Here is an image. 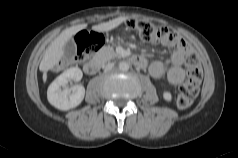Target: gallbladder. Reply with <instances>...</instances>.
<instances>
[{
	"label": "gallbladder",
	"mask_w": 238,
	"mask_h": 158,
	"mask_svg": "<svg viewBox=\"0 0 238 158\" xmlns=\"http://www.w3.org/2000/svg\"><path fill=\"white\" fill-rule=\"evenodd\" d=\"M65 59L67 62H72L76 54V43L73 39H69L63 47Z\"/></svg>",
	"instance_id": "obj_1"
}]
</instances>
